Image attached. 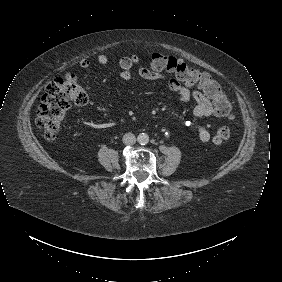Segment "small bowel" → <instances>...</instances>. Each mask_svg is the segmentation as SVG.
Returning a JSON list of instances; mask_svg holds the SVG:
<instances>
[{"instance_id":"1","label":"small bowel","mask_w":282,"mask_h":282,"mask_svg":"<svg viewBox=\"0 0 282 282\" xmlns=\"http://www.w3.org/2000/svg\"><path fill=\"white\" fill-rule=\"evenodd\" d=\"M99 64L104 65L108 62V58L104 54H100L97 57ZM119 65L121 68L120 79L124 82L129 81L132 78L131 69L136 67L138 74L141 78L150 81H162L170 90L175 93L174 101L178 104L185 105L191 101L195 103L193 109V115L197 118L214 116L213 106L209 96L202 90L201 87L198 89H191L190 87L183 85L179 80L168 77L159 71L149 69L148 67L141 64L140 59L136 55L124 56L120 59ZM79 66L82 69L90 67V61L87 58H82L79 61ZM200 141L206 143L210 140V132L204 127L200 126L197 130Z\"/></svg>"}]
</instances>
